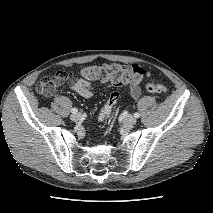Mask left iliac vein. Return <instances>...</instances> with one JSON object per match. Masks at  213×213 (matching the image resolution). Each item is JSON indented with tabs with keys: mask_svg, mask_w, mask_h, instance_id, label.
Wrapping results in <instances>:
<instances>
[{
	"mask_svg": "<svg viewBox=\"0 0 213 213\" xmlns=\"http://www.w3.org/2000/svg\"><path fill=\"white\" fill-rule=\"evenodd\" d=\"M136 123V118L132 115H128L126 118H125V124L128 125V126H132Z\"/></svg>",
	"mask_w": 213,
	"mask_h": 213,
	"instance_id": "obj_1",
	"label": "left iliac vein"
}]
</instances>
